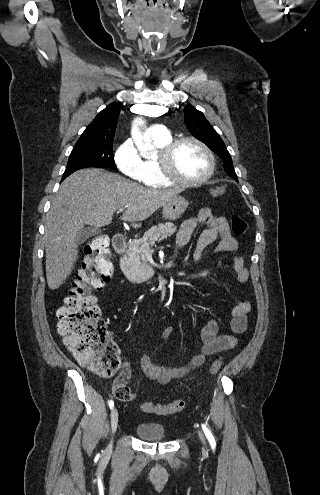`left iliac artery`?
Listing matches in <instances>:
<instances>
[{
	"instance_id": "left-iliac-artery-1",
	"label": "left iliac artery",
	"mask_w": 320,
	"mask_h": 495,
	"mask_svg": "<svg viewBox=\"0 0 320 495\" xmlns=\"http://www.w3.org/2000/svg\"><path fill=\"white\" fill-rule=\"evenodd\" d=\"M202 429L211 445V447H215L216 446V442H215V439L211 433V431L206 427L205 424H202Z\"/></svg>"
}]
</instances>
